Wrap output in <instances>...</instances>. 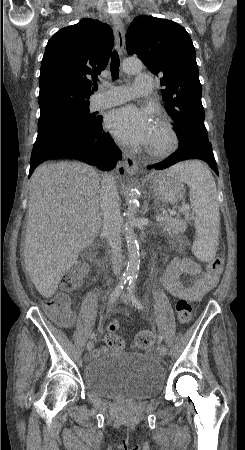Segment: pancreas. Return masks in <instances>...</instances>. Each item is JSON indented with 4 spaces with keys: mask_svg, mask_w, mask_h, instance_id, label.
Wrapping results in <instances>:
<instances>
[{
    "mask_svg": "<svg viewBox=\"0 0 245 450\" xmlns=\"http://www.w3.org/2000/svg\"><path fill=\"white\" fill-rule=\"evenodd\" d=\"M188 220L189 214L187 212L184 213V219H181L180 216L172 218L167 215V218L161 221L159 226L163 229V232L171 236L179 235V233H183L186 230Z\"/></svg>",
    "mask_w": 245,
    "mask_h": 450,
    "instance_id": "1",
    "label": "pancreas"
}]
</instances>
